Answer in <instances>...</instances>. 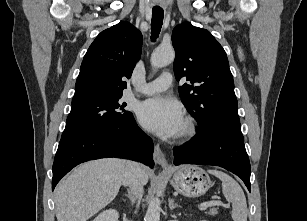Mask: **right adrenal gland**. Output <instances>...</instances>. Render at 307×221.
I'll list each match as a JSON object with an SVG mask.
<instances>
[{"label": "right adrenal gland", "instance_id": "2a0ac1e0", "mask_svg": "<svg viewBox=\"0 0 307 221\" xmlns=\"http://www.w3.org/2000/svg\"><path fill=\"white\" fill-rule=\"evenodd\" d=\"M125 196L129 198L132 203L135 201V196L130 190H128V194H125Z\"/></svg>", "mask_w": 307, "mask_h": 221}]
</instances>
